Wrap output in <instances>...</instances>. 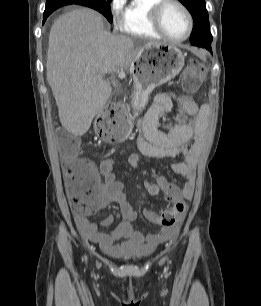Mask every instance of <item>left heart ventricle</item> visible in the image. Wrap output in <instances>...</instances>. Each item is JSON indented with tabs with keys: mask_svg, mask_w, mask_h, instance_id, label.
Masks as SVG:
<instances>
[{
	"mask_svg": "<svg viewBox=\"0 0 261 306\" xmlns=\"http://www.w3.org/2000/svg\"><path fill=\"white\" fill-rule=\"evenodd\" d=\"M161 23L171 37L181 38L187 32L188 24L186 16L175 5H168L164 8L161 15Z\"/></svg>",
	"mask_w": 261,
	"mask_h": 306,
	"instance_id": "b2bd125f",
	"label": "left heart ventricle"
}]
</instances>
